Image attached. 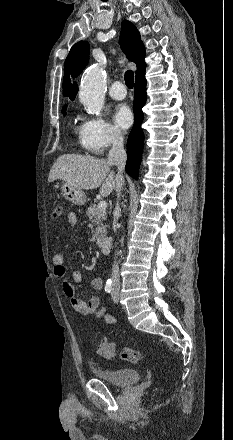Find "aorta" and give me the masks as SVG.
<instances>
[{"label": "aorta", "instance_id": "obj_1", "mask_svg": "<svg viewBox=\"0 0 233 440\" xmlns=\"http://www.w3.org/2000/svg\"><path fill=\"white\" fill-rule=\"evenodd\" d=\"M106 92L105 74L100 67L89 68L81 81L79 98L88 112L98 115L104 106Z\"/></svg>", "mask_w": 233, "mask_h": 440}]
</instances>
